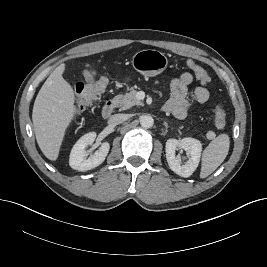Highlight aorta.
I'll use <instances>...</instances> for the list:
<instances>
[{"label": "aorta", "mask_w": 267, "mask_h": 267, "mask_svg": "<svg viewBox=\"0 0 267 267\" xmlns=\"http://www.w3.org/2000/svg\"><path fill=\"white\" fill-rule=\"evenodd\" d=\"M140 124L143 128H151L154 124V119L150 115H143L140 118Z\"/></svg>", "instance_id": "aorta-1"}]
</instances>
